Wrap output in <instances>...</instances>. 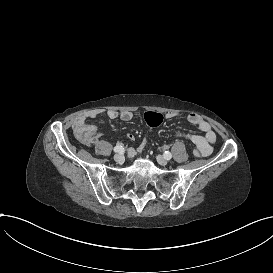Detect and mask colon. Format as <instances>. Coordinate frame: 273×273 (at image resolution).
I'll return each mask as SVG.
<instances>
[{"mask_svg":"<svg viewBox=\"0 0 273 273\" xmlns=\"http://www.w3.org/2000/svg\"><path fill=\"white\" fill-rule=\"evenodd\" d=\"M149 126H157L164 122V116L160 113L146 114L144 117ZM97 122V117L93 113H81L74 117L72 120V127L74 130L73 136L75 139L80 140L83 144H88L92 140V134L97 135L101 131V127ZM148 138L143 136L139 140L137 149L144 153L146 151V143Z\"/></svg>","mask_w":273,"mask_h":273,"instance_id":"5ec220e1","label":"colon"}]
</instances>
